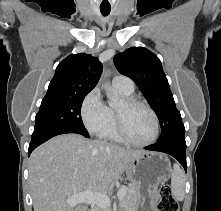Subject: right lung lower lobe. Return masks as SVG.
<instances>
[{"label": "right lung lower lobe", "mask_w": 221, "mask_h": 211, "mask_svg": "<svg viewBox=\"0 0 221 211\" xmlns=\"http://www.w3.org/2000/svg\"><path fill=\"white\" fill-rule=\"evenodd\" d=\"M66 133H77L81 134L85 137H89L88 132H82L79 130L75 129H58V130H49L44 133L32 136V140L29 144V149H28V155L31 154V152L40 144L44 143L45 141L49 140L50 138L60 135V134H66Z\"/></svg>", "instance_id": "1"}]
</instances>
